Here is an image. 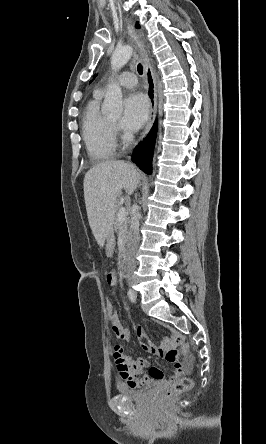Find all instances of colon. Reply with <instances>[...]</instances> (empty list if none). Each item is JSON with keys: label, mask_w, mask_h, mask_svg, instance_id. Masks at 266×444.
Listing matches in <instances>:
<instances>
[{"label": "colon", "mask_w": 266, "mask_h": 444, "mask_svg": "<svg viewBox=\"0 0 266 444\" xmlns=\"http://www.w3.org/2000/svg\"><path fill=\"white\" fill-rule=\"evenodd\" d=\"M105 311L109 319H113L117 316L118 312L116 311L111 300L107 299L105 303ZM187 351V346L182 345L180 352L185 353ZM193 382L188 377L178 378L174 381V383L161 395L160 403L167 404L169 400L180 394L181 392L189 389L192 386Z\"/></svg>", "instance_id": "obj_1"}]
</instances>
